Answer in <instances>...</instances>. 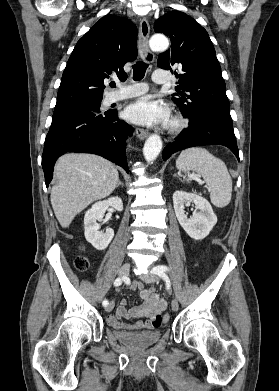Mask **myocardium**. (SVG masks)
I'll list each match as a JSON object with an SVG mask.
<instances>
[{
	"label": "myocardium",
	"instance_id": "f54148a6",
	"mask_svg": "<svg viewBox=\"0 0 279 391\" xmlns=\"http://www.w3.org/2000/svg\"><path fill=\"white\" fill-rule=\"evenodd\" d=\"M187 126V121L180 115H175L171 118L168 129L171 134L181 132Z\"/></svg>",
	"mask_w": 279,
	"mask_h": 391
}]
</instances>
